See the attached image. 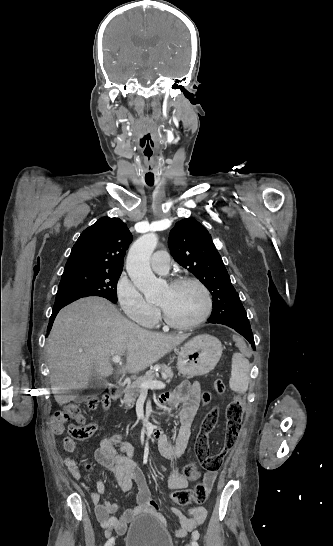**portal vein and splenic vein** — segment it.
<instances>
[{
    "mask_svg": "<svg viewBox=\"0 0 333 546\" xmlns=\"http://www.w3.org/2000/svg\"><path fill=\"white\" fill-rule=\"evenodd\" d=\"M111 360H112L113 363H120L121 362V357L118 356V355H115V356L112 357ZM140 387H141L142 390L163 389V388H165V384L163 382L157 381V380L143 381V382H141Z\"/></svg>",
    "mask_w": 333,
    "mask_h": 546,
    "instance_id": "obj_1",
    "label": "portal vein and splenic vein"
}]
</instances>
